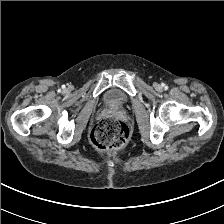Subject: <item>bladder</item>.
I'll use <instances>...</instances> for the list:
<instances>
[{"label": "bladder", "instance_id": "bladder-1", "mask_svg": "<svg viewBox=\"0 0 224 224\" xmlns=\"http://www.w3.org/2000/svg\"><path fill=\"white\" fill-rule=\"evenodd\" d=\"M104 101L107 106L112 108H122L127 105L126 95L119 89H110L104 95Z\"/></svg>", "mask_w": 224, "mask_h": 224}]
</instances>
